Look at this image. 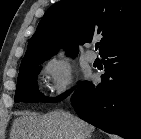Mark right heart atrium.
I'll list each match as a JSON object with an SVG mask.
<instances>
[{"label":"right heart atrium","instance_id":"1","mask_svg":"<svg viewBox=\"0 0 141 139\" xmlns=\"http://www.w3.org/2000/svg\"><path fill=\"white\" fill-rule=\"evenodd\" d=\"M41 71L49 98L58 101L70 94L74 85V75L69 65L58 60H48Z\"/></svg>","mask_w":141,"mask_h":139}]
</instances>
